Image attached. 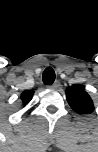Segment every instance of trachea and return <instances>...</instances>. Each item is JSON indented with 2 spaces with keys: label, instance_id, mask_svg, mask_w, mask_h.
Returning a JSON list of instances; mask_svg holds the SVG:
<instances>
[{
  "label": "trachea",
  "instance_id": "3493384b",
  "mask_svg": "<svg viewBox=\"0 0 98 152\" xmlns=\"http://www.w3.org/2000/svg\"><path fill=\"white\" fill-rule=\"evenodd\" d=\"M43 83L45 85H52L55 81V72L51 67H48L43 72Z\"/></svg>",
  "mask_w": 98,
  "mask_h": 152
}]
</instances>
